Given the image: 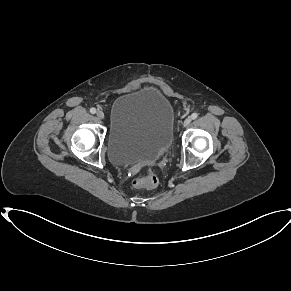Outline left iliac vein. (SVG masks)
Here are the masks:
<instances>
[{
  "instance_id": "4c4485c4",
  "label": "left iliac vein",
  "mask_w": 291,
  "mask_h": 291,
  "mask_svg": "<svg viewBox=\"0 0 291 291\" xmlns=\"http://www.w3.org/2000/svg\"><path fill=\"white\" fill-rule=\"evenodd\" d=\"M190 123H191V118L188 117V118H186V119L184 120L183 125L186 127V126H188Z\"/></svg>"
}]
</instances>
